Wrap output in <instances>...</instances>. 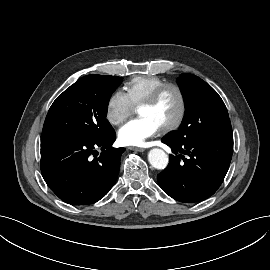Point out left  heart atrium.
<instances>
[{"label": "left heart atrium", "mask_w": 270, "mask_h": 270, "mask_svg": "<svg viewBox=\"0 0 270 270\" xmlns=\"http://www.w3.org/2000/svg\"><path fill=\"white\" fill-rule=\"evenodd\" d=\"M161 128L149 117H139L125 123L118 131V140L125 146H142Z\"/></svg>", "instance_id": "left-heart-atrium-1"}]
</instances>
